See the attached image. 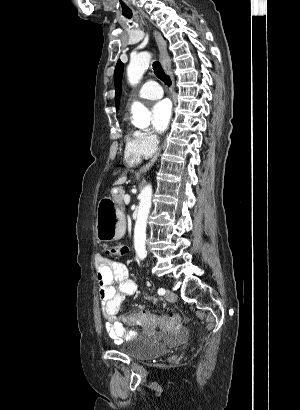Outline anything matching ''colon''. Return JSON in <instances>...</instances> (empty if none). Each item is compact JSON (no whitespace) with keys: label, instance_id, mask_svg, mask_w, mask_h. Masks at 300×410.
<instances>
[{"label":"colon","instance_id":"5ec220e1","mask_svg":"<svg viewBox=\"0 0 300 410\" xmlns=\"http://www.w3.org/2000/svg\"><path fill=\"white\" fill-rule=\"evenodd\" d=\"M127 247L125 245H114L108 248L107 254L112 257H120L125 255ZM180 317L177 312H167L165 318H156L147 311H139L131 316H128L125 321L129 325L144 324L147 327H153L157 324L175 325L180 322Z\"/></svg>","mask_w":300,"mask_h":410}]
</instances>
